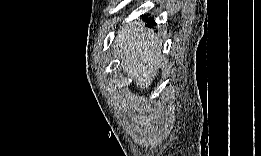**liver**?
I'll list each match as a JSON object with an SVG mask.
<instances>
[{
	"label": "liver",
	"instance_id": "1",
	"mask_svg": "<svg viewBox=\"0 0 261 156\" xmlns=\"http://www.w3.org/2000/svg\"><path fill=\"white\" fill-rule=\"evenodd\" d=\"M114 43L115 56L121 57L123 72L133 77L141 90L150 86L162 60L158 38L141 25H126Z\"/></svg>",
	"mask_w": 261,
	"mask_h": 156
}]
</instances>
